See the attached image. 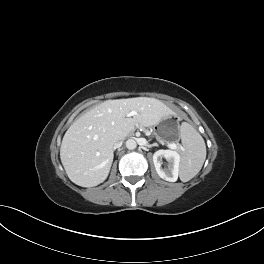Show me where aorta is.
I'll return each instance as SVG.
<instances>
[{"mask_svg": "<svg viewBox=\"0 0 264 264\" xmlns=\"http://www.w3.org/2000/svg\"><path fill=\"white\" fill-rule=\"evenodd\" d=\"M126 147L129 150H133V149H135L137 147V143H136V141L134 139H128L126 141Z\"/></svg>", "mask_w": 264, "mask_h": 264, "instance_id": "aorta-1", "label": "aorta"}]
</instances>
